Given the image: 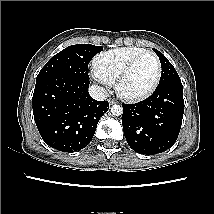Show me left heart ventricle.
<instances>
[{"label":"left heart ventricle","instance_id":"obj_1","mask_svg":"<svg viewBox=\"0 0 214 214\" xmlns=\"http://www.w3.org/2000/svg\"><path fill=\"white\" fill-rule=\"evenodd\" d=\"M157 67L151 56L142 57L132 68L122 83L121 89L129 95H137L147 91L156 77Z\"/></svg>","mask_w":214,"mask_h":214}]
</instances>
